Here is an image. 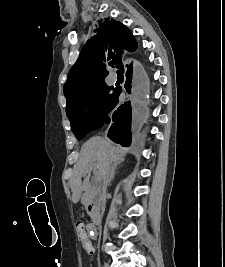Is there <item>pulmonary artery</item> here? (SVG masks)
Here are the masks:
<instances>
[{
	"label": "pulmonary artery",
	"mask_w": 225,
	"mask_h": 267,
	"mask_svg": "<svg viewBox=\"0 0 225 267\" xmlns=\"http://www.w3.org/2000/svg\"><path fill=\"white\" fill-rule=\"evenodd\" d=\"M112 81L116 82L117 81V76L115 74H112Z\"/></svg>",
	"instance_id": "e3ab8cb5"
}]
</instances>
